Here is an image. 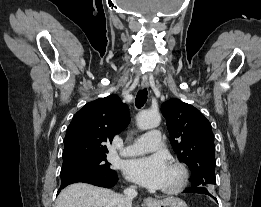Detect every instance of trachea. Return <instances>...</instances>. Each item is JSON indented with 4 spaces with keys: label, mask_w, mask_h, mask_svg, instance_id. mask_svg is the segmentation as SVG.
Returning a JSON list of instances; mask_svg holds the SVG:
<instances>
[{
    "label": "trachea",
    "mask_w": 261,
    "mask_h": 207,
    "mask_svg": "<svg viewBox=\"0 0 261 207\" xmlns=\"http://www.w3.org/2000/svg\"><path fill=\"white\" fill-rule=\"evenodd\" d=\"M147 95H148V92H147L146 88L138 91L136 99H135V105L137 108H141L144 106V104L147 101Z\"/></svg>",
    "instance_id": "1"
}]
</instances>
